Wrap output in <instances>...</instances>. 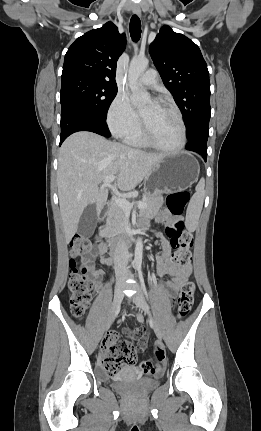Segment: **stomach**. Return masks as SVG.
Segmentation results:
<instances>
[{
	"instance_id": "stomach-1",
	"label": "stomach",
	"mask_w": 261,
	"mask_h": 431,
	"mask_svg": "<svg viewBox=\"0 0 261 431\" xmlns=\"http://www.w3.org/2000/svg\"><path fill=\"white\" fill-rule=\"evenodd\" d=\"M198 161L187 152L164 155L145 178L147 195L179 191L190 187L199 176Z\"/></svg>"
}]
</instances>
